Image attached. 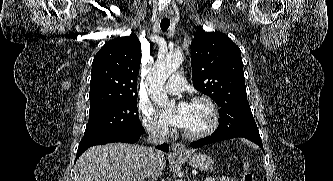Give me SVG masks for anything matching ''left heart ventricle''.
Here are the masks:
<instances>
[{"label": "left heart ventricle", "instance_id": "b2bd125f", "mask_svg": "<svg viewBox=\"0 0 333 181\" xmlns=\"http://www.w3.org/2000/svg\"><path fill=\"white\" fill-rule=\"evenodd\" d=\"M209 122L208 108L201 103L189 105V118L186 131L195 132L203 129Z\"/></svg>", "mask_w": 333, "mask_h": 181}]
</instances>
